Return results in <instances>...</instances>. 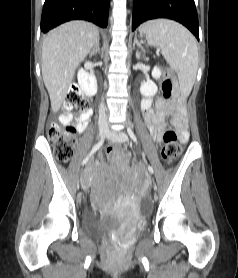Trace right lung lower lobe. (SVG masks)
<instances>
[{
	"mask_svg": "<svg viewBox=\"0 0 238 278\" xmlns=\"http://www.w3.org/2000/svg\"><path fill=\"white\" fill-rule=\"evenodd\" d=\"M109 4L110 0H45L41 31L46 33L70 20H87L105 28Z\"/></svg>",
	"mask_w": 238,
	"mask_h": 278,
	"instance_id": "98d812e1",
	"label": "right lung lower lobe"
}]
</instances>
